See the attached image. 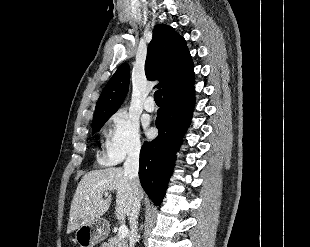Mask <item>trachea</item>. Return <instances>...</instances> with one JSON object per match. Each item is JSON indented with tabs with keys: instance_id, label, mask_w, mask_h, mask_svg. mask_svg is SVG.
Instances as JSON below:
<instances>
[{
	"instance_id": "3493384b",
	"label": "trachea",
	"mask_w": 310,
	"mask_h": 247,
	"mask_svg": "<svg viewBox=\"0 0 310 247\" xmlns=\"http://www.w3.org/2000/svg\"><path fill=\"white\" fill-rule=\"evenodd\" d=\"M161 99H162V91L161 90H157L154 93V100H155L156 104H160L161 103Z\"/></svg>"
}]
</instances>
